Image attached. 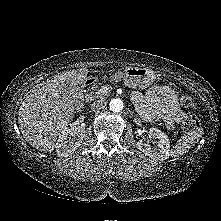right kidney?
Returning <instances> with one entry per match:
<instances>
[{"label":"right kidney","instance_id":"obj_1","mask_svg":"<svg viewBox=\"0 0 221 221\" xmlns=\"http://www.w3.org/2000/svg\"><path fill=\"white\" fill-rule=\"evenodd\" d=\"M85 128L72 126L65 129L60 135L55 145L56 152L60 157L72 155L81 146L85 137Z\"/></svg>","mask_w":221,"mask_h":221}]
</instances>
